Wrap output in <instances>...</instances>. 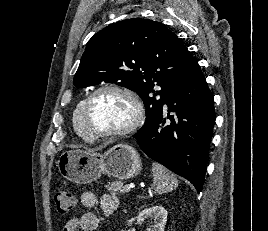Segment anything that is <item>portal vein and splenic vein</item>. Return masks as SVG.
<instances>
[{
	"mask_svg": "<svg viewBox=\"0 0 268 231\" xmlns=\"http://www.w3.org/2000/svg\"><path fill=\"white\" fill-rule=\"evenodd\" d=\"M133 187H134V185H126V186H125V190L128 192V191H130V189L133 188Z\"/></svg>",
	"mask_w": 268,
	"mask_h": 231,
	"instance_id": "18ae733b",
	"label": "portal vein and splenic vein"
}]
</instances>
